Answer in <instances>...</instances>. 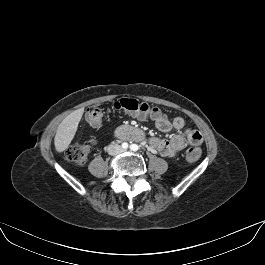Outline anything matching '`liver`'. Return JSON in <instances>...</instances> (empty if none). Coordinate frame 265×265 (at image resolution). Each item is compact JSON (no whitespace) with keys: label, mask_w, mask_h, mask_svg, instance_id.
I'll list each match as a JSON object with an SVG mask.
<instances>
[{"label":"liver","mask_w":265,"mask_h":265,"mask_svg":"<svg viewBox=\"0 0 265 265\" xmlns=\"http://www.w3.org/2000/svg\"><path fill=\"white\" fill-rule=\"evenodd\" d=\"M83 113V108L75 110L59 124L54 138V145L57 152L61 153L69 147L76 134Z\"/></svg>","instance_id":"6515ba94"}]
</instances>
